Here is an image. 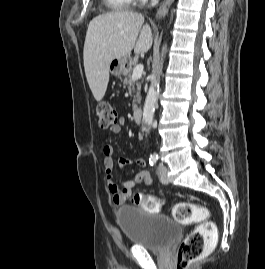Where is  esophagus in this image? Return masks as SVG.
I'll list each match as a JSON object with an SVG mask.
<instances>
[{
  "label": "esophagus",
  "mask_w": 265,
  "mask_h": 269,
  "mask_svg": "<svg viewBox=\"0 0 265 269\" xmlns=\"http://www.w3.org/2000/svg\"><path fill=\"white\" fill-rule=\"evenodd\" d=\"M174 0H164L160 8L157 10L156 18L160 19L167 15L169 8Z\"/></svg>",
  "instance_id": "esophagus-1"
}]
</instances>
